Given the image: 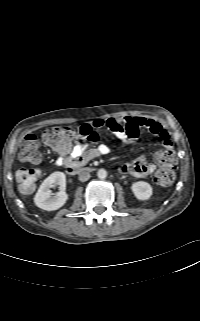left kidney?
Here are the masks:
<instances>
[{
	"mask_svg": "<svg viewBox=\"0 0 200 321\" xmlns=\"http://www.w3.org/2000/svg\"><path fill=\"white\" fill-rule=\"evenodd\" d=\"M131 190L138 200H148L153 193L151 185L145 181L133 183Z\"/></svg>",
	"mask_w": 200,
	"mask_h": 321,
	"instance_id": "5707ae66",
	"label": "left kidney"
}]
</instances>
